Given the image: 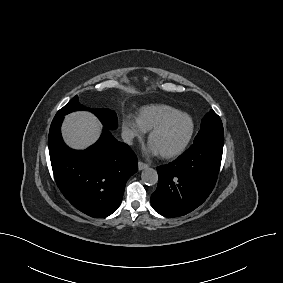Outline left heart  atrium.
<instances>
[{"label":"left heart atrium","mask_w":283,"mask_h":283,"mask_svg":"<svg viewBox=\"0 0 283 283\" xmlns=\"http://www.w3.org/2000/svg\"><path fill=\"white\" fill-rule=\"evenodd\" d=\"M146 153L149 155H158L159 151L157 148L153 145V143L149 142L147 148H146Z\"/></svg>","instance_id":"obj_1"}]
</instances>
